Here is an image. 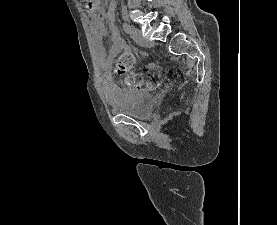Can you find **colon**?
Masks as SVG:
<instances>
[{
	"label": "colon",
	"instance_id": "obj_1",
	"mask_svg": "<svg viewBox=\"0 0 277 225\" xmlns=\"http://www.w3.org/2000/svg\"><path fill=\"white\" fill-rule=\"evenodd\" d=\"M84 1V0H83ZM89 8V5L86 4ZM135 63V58L131 53L121 54L116 62V71L118 75L124 76L128 74ZM158 73L153 71H145L135 75L134 83L137 87L147 90H154L158 85Z\"/></svg>",
	"mask_w": 277,
	"mask_h": 225
}]
</instances>
